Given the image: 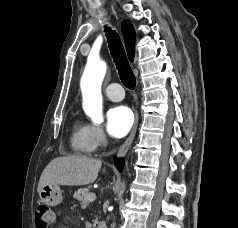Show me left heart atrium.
Segmentation results:
<instances>
[{
    "label": "left heart atrium",
    "instance_id": "1",
    "mask_svg": "<svg viewBox=\"0 0 238 228\" xmlns=\"http://www.w3.org/2000/svg\"><path fill=\"white\" fill-rule=\"evenodd\" d=\"M134 115L126 106L119 105L111 108L107 113V130L115 138H121L131 129Z\"/></svg>",
    "mask_w": 238,
    "mask_h": 228
}]
</instances>
